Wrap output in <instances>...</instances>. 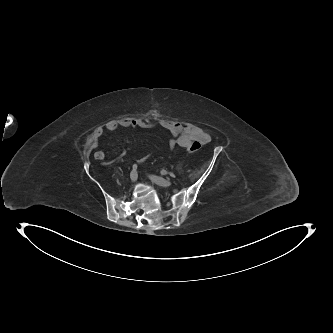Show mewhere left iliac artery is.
<instances>
[{
  "label": "left iliac artery",
  "instance_id": "left-iliac-artery-1",
  "mask_svg": "<svg viewBox=\"0 0 333 333\" xmlns=\"http://www.w3.org/2000/svg\"><path fill=\"white\" fill-rule=\"evenodd\" d=\"M160 173H161L162 175H167V174H168V171H166V170L163 169V170L160 171ZM171 175H173V174H171Z\"/></svg>",
  "mask_w": 333,
  "mask_h": 333
}]
</instances>
